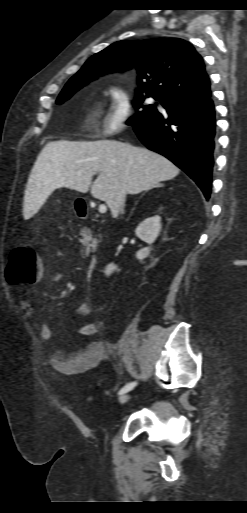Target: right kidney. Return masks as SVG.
<instances>
[{"label": "right kidney", "instance_id": "1", "mask_svg": "<svg viewBox=\"0 0 247 513\" xmlns=\"http://www.w3.org/2000/svg\"><path fill=\"white\" fill-rule=\"evenodd\" d=\"M161 230V217L155 215L153 217L145 219L141 222L136 230L135 234L144 242L148 244H152L156 238L158 237ZM150 253V248H143L139 250L136 254L138 259H143L147 257ZM117 267L114 264H109L106 267L105 274L110 275L115 271Z\"/></svg>", "mask_w": 247, "mask_h": 513}]
</instances>
